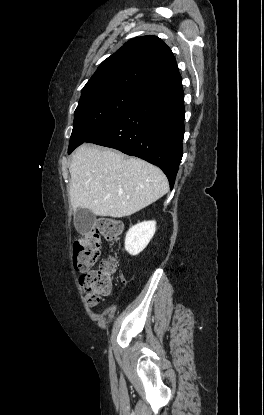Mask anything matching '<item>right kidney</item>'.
<instances>
[{"instance_id": "right-kidney-1", "label": "right kidney", "mask_w": 264, "mask_h": 415, "mask_svg": "<svg viewBox=\"0 0 264 415\" xmlns=\"http://www.w3.org/2000/svg\"><path fill=\"white\" fill-rule=\"evenodd\" d=\"M156 222L144 221L132 226L126 233L125 249L131 255H138L155 234Z\"/></svg>"}]
</instances>
